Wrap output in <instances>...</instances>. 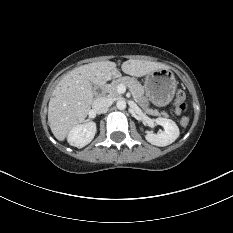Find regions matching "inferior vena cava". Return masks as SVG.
I'll use <instances>...</instances> for the list:
<instances>
[{
    "label": "inferior vena cava",
    "instance_id": "inferior-vena-cava-1",
    "mask_svg": "<svg viewBox=\"0 0 233 233\" xmlns=\"http://www.w3.org/2000/svg\"><path fill=\"white\" fill-rule=\"evenodd\" d=\"M112 105V100L105 97H100L94 100L92 104L93 111L97 114H101L106 111Z\"/></svg>",
    "mask_w": 233,
    "mask_h": 233
}]
</instances>
